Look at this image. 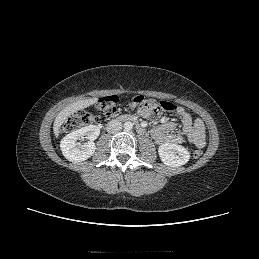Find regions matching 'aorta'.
<instances>
[{
	"instance_id": "aorta-1",
	"label": "aorta",
	"mask_w": 259,
	"mask_h": 259,
	"mask_svg": "<svg viewBox=\"0 0 259 259\" xmlns=\"http://www.w3.org/2000/svg\"><path fill=\"white\" fill-rule=\"evenodd\" d=\"M132 128H133L132 122L127 121V122L124 123V129H125L126 131H130V130H132Z\"/></svg>"
}]
</instances>
